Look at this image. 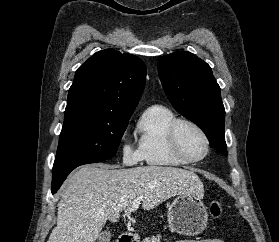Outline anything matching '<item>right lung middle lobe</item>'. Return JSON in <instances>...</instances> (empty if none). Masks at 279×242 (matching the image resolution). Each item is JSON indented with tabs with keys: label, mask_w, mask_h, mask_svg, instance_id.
Listing matches in <instances>:
<instances>
[{
	"label": "right lung middle lobe",
	"mask_w": 279,
	"mask_h": 242,
	"mask_svg": "<svg viewBox=\"0 0 279 242\" xmlns=\"http://www.w3.org/2000/svg\"><path fill=\"white\" fill-rule=\"evenodd\" d=\"M130 117L96 118L81 113L65 114L60 133L52 183L76 167L115 156Z\"/></svg>",
	"instance_id": "obj_1"
}]
</instances>
